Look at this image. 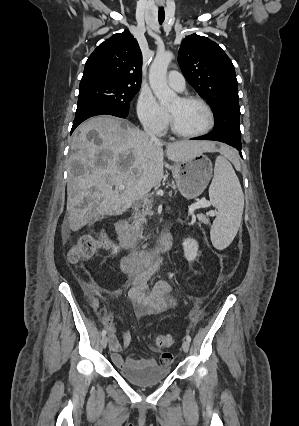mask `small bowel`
Here are the masks:
<instances>
[{"instance_id": "1", "label": "small bowel", "mask_w": 299, "mask_h": 426, "mask_svg": "<svg viewBox=\"0 0 299 426\" xmlns=\"http://www.w3.org/2000/svg\"><path fill=\"white\" fill-rule=\"evenodd\" d=\"M161 264L162 260L158 259L135 273L133 284L129 291V298L135 313L139 316L159 314L176 304L172 296V287L167 281H159L152 288L148 286L150 277ZM104 323L109 329L111 357L117 368L131 369L157 365L153 358L135 359L131 356L123 358L120 352L124 347L128 346L131 341L129 332L123 330V340L119 341L117 339V326L113 322L112 313H107L104 316ZM171 361V353H161L159 359L161 365H168Z\"/></svg>"}]
</instances>
